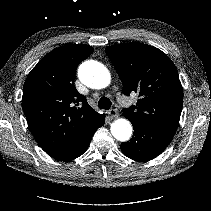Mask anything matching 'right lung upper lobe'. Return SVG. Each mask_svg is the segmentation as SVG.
Segmentation results:
<instances>
[{"mask_svg":"<svg viewBox=\"0 0 211 211\" xmlns=\"http://www.w3.org/2000/svg\"><path fill=\"white\" fill-rule=\"evenodd\" d=\"M93 53L88 45H66L45 55L27 76L22 108L37 143L52 157L83 138L105 115L75 88L77 66Z\"/></svg>","mask_w":211,"mask_h":211,"instance_id":"right-lung-upper-lobe-1","label":"right lung upper lobe"}]
</instances>
